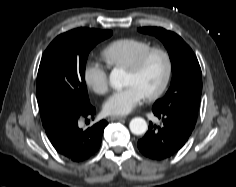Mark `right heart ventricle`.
I'll list each match as a JSON object with an SVG mask.
<instances>
[{
	"mask_svg": "<svg viewBox=\"0 0 236 187\" xmlns=\"http://www.w3.org/2000/svg\"><path fill=\"white\" fill-rule=\"evenodd\" d=\"M151 45L136 38H121L109 43L101 52L102 59L113 68L127 69Z\"/></svg>",
	"mask_w": 236,
	"mask_h": 187,
	"instance_id": "right-heart-ventricle-1",
	"label": "right heart ventricle"
}]
</instances>
